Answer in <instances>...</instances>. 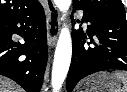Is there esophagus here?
<instances>
[{"label":"esophagus","mask_w":127,"mask_h":92,"mask_svg":"<svg viewBox=\"0 0 127 92\" xmlns=\"http://www.w3.org/2000/svg\"><path fill=\"white\" fill-rule=\"evenodd\" d=\"M46 22H47V44L51 48L54 46L59 33V11L53 0H45Z\"/></svg>","instance_id":"esophagus-1"}]
</instances>
